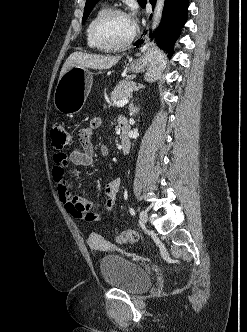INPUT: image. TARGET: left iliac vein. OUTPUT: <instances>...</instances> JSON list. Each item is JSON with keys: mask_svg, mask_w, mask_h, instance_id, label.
Instances as JSON below:
<instances>
[{"mask_svg": "<svg viewBox=\"0 0 247 332\" xmlns=\"http://www.w3.org/2000/svg\"><path fill=\"white\" fill-rule=\"evenodd\" d=\"M139 216H140V220H141L142 223H146L147 222V220H148V214H147L146 211L142 210L140 212Z\"/></svg>", "mask_w": 247, "mask_h": 332, "instance_id": "4c4485c4", "label": "left iliac vein"}]
</instances>
